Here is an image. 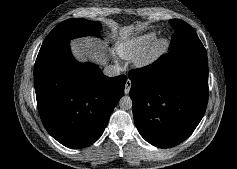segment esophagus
<instances>
[{"label": "esophagus", "instance_id": "1", "mask_svg": "<svg viewBox=\"0 0 237 169\" xmlns=\"http://www.w3.org/2000/svg\"><path fill=\"white\" fill-rule=\"evenodd\" d=\"M131 84H132V83H131V80H130V79H127L126 84H125V90H124L125 94H128V93H129Z\"/></svg>", "mask_w": 237, "mask_h": 169}]
</instances>
